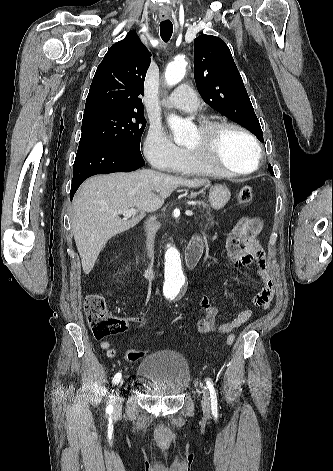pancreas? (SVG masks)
<instances>
[{"label":"pancreas","mask_w":333,"mask_h":471,"mask_svg":"<svg viewBox=\"0 0 333 471\" xmlns=\"http://www.w3.org/2000/svg\"><path fill=\"white\" fill-rule=\"evenodd\" d=\"M200 206H202L204 209H206V214H203V215L199 216V218H202V219L205 218L206 222L205 223L200 222L199 226L203 227L206 230V229L211 228L214 225V220H213V216L210 213V209L207 208L206 204L201 203V204L198 205V207L200 208ZM200 212H202V211H200ZM196 220L198 221V218Z\"/></svg>","instance_id":"pancreas-1"}]
</instances>
